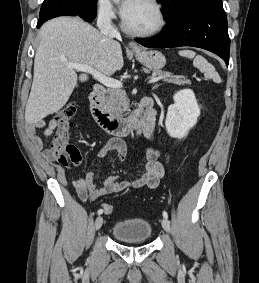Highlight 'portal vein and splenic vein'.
I'll return each mask as SVG.
<instances>
[{
    "label": "portal vein and splenic vein",
    "instance_id": "1",
    "mask_svg": "<svg viewBox=\"0 0 259 283\" xmlns=\"http://www.w3.org/2000/svg\"><path fill=\"white\" fill-rule=\"evenodd\" d=\"M67 67L76 69L77 71H82L91 74L95 79H97L101 84L108 88H122V82L119 80H115L109 77H106L103 75L101 72L95 70L91 66L88 65H82V64H76V63H71L68 64ZM165 76H159V77H150L149 78V83H154L157 82L161 79H163Z\"/></svg>",
    "mask_w": 259,
    "mask_h": 283
}]
</instances>
